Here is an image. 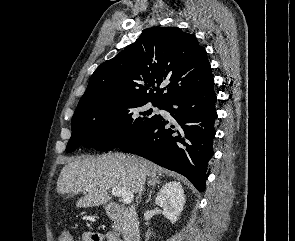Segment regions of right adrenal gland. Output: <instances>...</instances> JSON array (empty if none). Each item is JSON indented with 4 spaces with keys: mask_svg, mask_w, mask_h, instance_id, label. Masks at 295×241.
I'll return each instance as SVG.
<instances>
[{
    "mask_svg": "<svg viewBox=\"0 0 295 241\" xmlns=\"http://www.w3.org/2000/svg\"><path fill=\"white\" fill-rule=\"evenodd\" d=\"M157 184H160V180H159V176L157 175H154V176H151L150 180L148 181V186L152 187V189H154V187L157 185ZM151 195H152V190L149 191V194H148V198L146 200V203L150 202L151 200Z\"/></svg>",
    "mask_w": 295,
    "mask_h": 241,
    "instance_id": "2a0ac1e0",
    "label": "right adrenal gland"
}]
</instances>
